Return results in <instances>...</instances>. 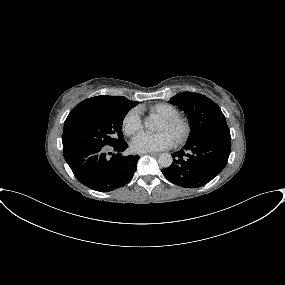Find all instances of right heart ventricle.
<instances>
[{
    "label": "right heart ventricle",
    "mask_w": 285,
    "mask_h": 285,
    "mask_svg": "<svg viewBox=\"0 0 285 285\" xmlns=\"http://www.w3.org/2000/svg\"><path fill=\"white\" fill-rule=\"evenodd\" d=\"M150 114L157 115L159 118L174 116L179 114V110L169 103H156L148 108Z\"/></svg>",
    "instance_id": "e07e8e85"
}]
</instances>
